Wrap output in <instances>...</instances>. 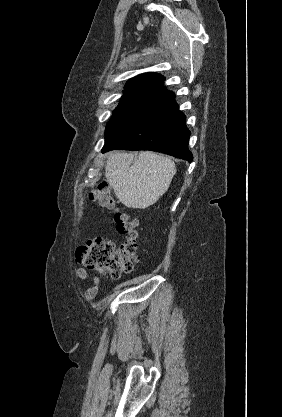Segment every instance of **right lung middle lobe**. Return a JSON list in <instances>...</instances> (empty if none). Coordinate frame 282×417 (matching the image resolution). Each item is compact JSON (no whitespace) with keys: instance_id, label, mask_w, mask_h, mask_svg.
<instances>
[{"instance_id":"dd1d6c3e","label":"right lung middle lobe","mask_w":282,"mask_h":417,"mask_svg":"<svg viewBox=\"0 0 282 417\" xmlns=\"http://www.w3.org/2000/svg\"><path fill=\"white\" fill-rule=\"evenodd\" d=\"M161 95L139 92H126L115 109L112 118L106 127L105 140L114 136L130 122L136 119Z\"/></svg>"}]
</instances>
